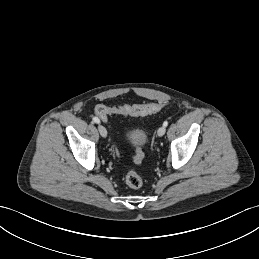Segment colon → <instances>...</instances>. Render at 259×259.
<instances>
[{
    "label": "colon",
    "mask_w": 259,
    "mask_h": 259,
    "mask_svg": "<svg viewBox=\"0 0 259 259\" xmlns=\"http://www.w3.org/2000/svg\"><path fill=\"white\" fill-rule=\"evenodd\" d=\"M161 108L158 103H148L139 105H125V106H106L99 105L96 108L97 116L104 122L107 121L108 116L114 114L121 115H135L142 116L154 113ZM144 158V153L141 149H137L133 157V161L136 165H140ZM126 184L133 189H138L143 185V178L136 170H131L125 177Z\"/></svg>",
    "instance_id": "obj_1"
}]
</instances>
